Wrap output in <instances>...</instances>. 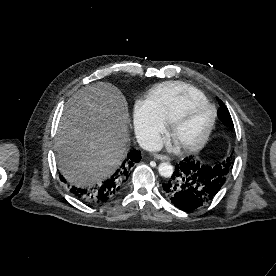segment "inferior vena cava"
I'll return each instance as SVG.
<instances>
[{
    "instance_id": "inferior-vena-cava-1",
    "label": "inferior vena cava",
    "mask_w": 276,
    "mask_h": 276,
    "mask_svg": "<svg viewBox=\"0 0 276 276\" xmlns=\"http://www.w3.org/2000/svg\"><path fill=\"white\" fill-rule=\"evenodd\" d=\"M137 141L144 150L153 152L160 151L163 147V141L158 134H146L137 138Z\"/></svg>"
}]
</instances>
